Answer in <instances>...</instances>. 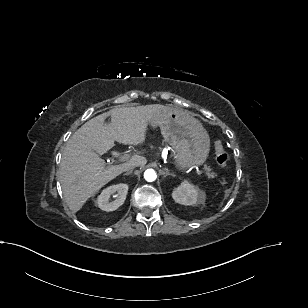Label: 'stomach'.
<instances>
[{
	"mask_svg": "<svg viewBox=\"0 0 308 308\" xmlns=\"http://www.w3.org/2000/svg\"><path fill=\"white\" fill-rule=\"evenodd\" d=\"M159 126L164 139L176 152V164L186 170L202 165L209 154L210 139L202 124L187 112L169 107L159 111L148 122Z\"/></svg>",
	"mask_w": 308,
	"mask_h": 308,
	"instance_id": "obj_1",
	"label": "stomach"
}]
</instances>
